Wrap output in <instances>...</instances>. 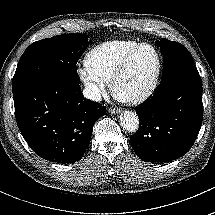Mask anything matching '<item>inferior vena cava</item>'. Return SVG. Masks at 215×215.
<instances>
[{"label":"inferior vena cava","instance_id":"obj_1","mask_svg":"<svg viewBox=\"0 0 215 215\" xmlns=\"http://www.w3.org/2000/svg\"><path fill=\"white\" fill-rule=\"evenodd\" d=\"M83 95L85 98L91 101H95V102L102 101L100 90L94 83L87 84V86L83 90Z\"/></svg>","mask_w":215,"mask_h":215}]
</instances>
